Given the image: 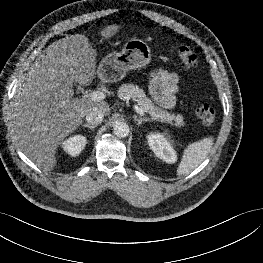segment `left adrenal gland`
Instances as JSON below:
<instances>
[{
  "instance_id": "obj_1",
  "label": "left adrenal gland",
  "mask_w": 263,
  "mask_h": 263,
  "mask_svg": "<svg viewBox=\"0 0 263 263\" xmlns=\"http://www.w3.org/2000/svg\"><path fill=\"white\" fill-rule=\"evenodd\" d=\"M134 121L137 122V125L140 126L143 122H149L150 120L148 118H141V117H137L134 116L133 117Z\"/></svg>"
}]
</instances>
